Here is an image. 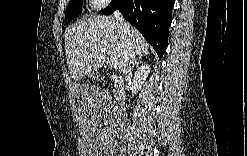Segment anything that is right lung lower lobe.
<instances>
[{"label": "right lung lower lobe", "instance_id": "right-lung-lower-lobe-1", "mask_svg": "<svg viewBox=\"0 0 247 156\" xmlns=\"http://www.w3.org/2000/svg\"><path fill=\"white\" fill-rule=\"evenodd\" d=\"M174 0H113L100 13L109 15L119 10L155 49L159 58L168 44Z\"/></svg>", "mask_w": 247, "mask_h": 156}]
</instances>
